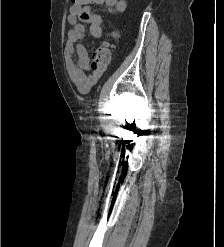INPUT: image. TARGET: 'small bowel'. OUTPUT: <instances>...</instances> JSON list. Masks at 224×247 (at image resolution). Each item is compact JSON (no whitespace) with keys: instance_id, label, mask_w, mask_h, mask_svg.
<instances>
[{"instance_id":"small-bowel-1","label":"small bowel","mask_w":224,"mask_h":247,"mask_svg":"<svg viewBox=\"0 0 224 247\" xmlns=\"http://www.w3.org/2000/svg\"><path fill=\"white\" fill-rule=\"evenodd\" d=\"M103 4L109 14H120L126 10L125 0H83L80 6L72 5L67 16L72 29L68 32L65 44V57L70 80L80 93H87L97 83L102 71L91 70L90 58L86 48L79 42L85 36V27L91 36H103L102 18L92 11L90 5ZM116 37L117 33H112Z\"/></svg>"}]
</instances>
